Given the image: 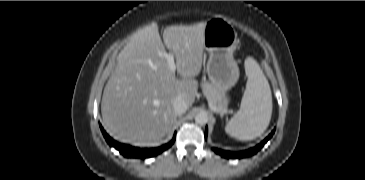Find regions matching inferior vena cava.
Masks as SVG:
<instances>
[{"instance_id":"obj_1","label":"inferior vena cava","mask_w":365,"mask_h":180,"mask_svg":"<svg viewBox=\"0 0 365 180\" xmlns=\"http://www.w3.org/2000/svg\"><path fill=\"white\" fill-rule=\"evenodd\" d=\"M188 106L181 96H177L173 100V109L177 115H181L186 112Z\"/></svg>"}]
</instances>
